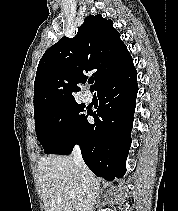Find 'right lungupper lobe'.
Listing matches in <instances>:
<instances>
[{"label": "right lung upper lobe", "mask_w": 178, "mask_h": 211, "mask_svg": "<svg viewBox=\"0 0 178 211\" xmlns=\"http://www.w3.org/2000/svg\"><path fill=\"white\" fill-rule=\"evenodd\" d=\"M133 67L112 20L89 15L74 38L63 37L42 56L34 82V114L52 104L75 100L78 84L86 82L89 71L98 90Z\"/></svg>", "instance_id": "right-lung-upper-lobe-1"}]
</instances>
